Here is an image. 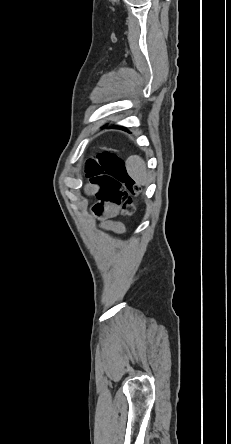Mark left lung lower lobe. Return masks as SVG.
<instances>
[{"label": "left lung lower lobe", "mask_w": 231, "mask_h": 444, "mask_svg": "<svg viewBox=\"0 0 231 444\" xmlns=\"http://www.w3.org/2000/svg\"><path fill=\"white\" fill-rule=\"evenodd\" d=\"M116 128H121V129H125V128H123V127H116Z\"/></svg>", "instance_id": "obj_1"}]
</instances>
